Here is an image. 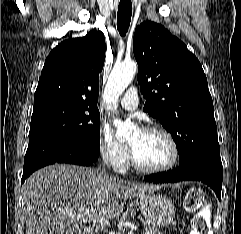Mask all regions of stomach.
Listing matches in <instances>:
<instances>
[{
  "mask_svg": "<svg viewBox=\"0 0 241 234\" xmlns=\"http://www.w3.org/2000/svg\"><path fill=\"white\" fill-rule=\"evenodd\" d=\"M139 205L146 221L154 227L166 226L174 219V205L164 195L150 193L140 196Z\"/></svg>",
  "mask_w": 241,
  "mask_h": 234,
  "instance_id": "0dacf381",
  "label": "stomach"
}]
</instances>
